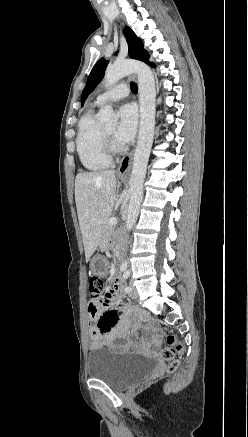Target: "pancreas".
<instances>
[{"label":"pancreas","mask_w":248,"mask_h":437,"mask_svg":"<svg viewBox=\"0 0 248 437\" xmlns=\"http://www.w3.org/2000/svg\"><path fill=\"white\" fill-rule=\"evenodd\" d=\"M108 220L106 221L105 229L107 232H111L113 230V226L108 223Z\"/></svg>","instance_id":"obj_1"}]
</instances>
